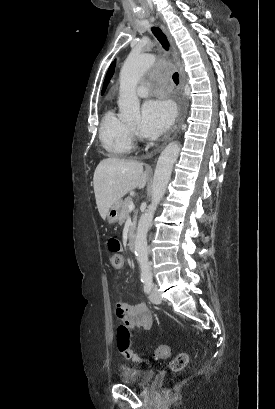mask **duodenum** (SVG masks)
<instances>
[{
  "instance_id": "duodenum-1",
  "label": "duodenum",
  "mask_w": 275,
  "mask_h": 409,
  "mask_svg": "<svg viewBox=\"0 0 275 409\" xmlns=\"http://www.w3.org/2000/svg\"><path fill=\"white\" fill-rule=\"evenodd\" d=\"M135 243H136L135 231L131 230L128 235V242H127L128 248L131 251L135 250Z\"/></svg>"
}]
</instances>
